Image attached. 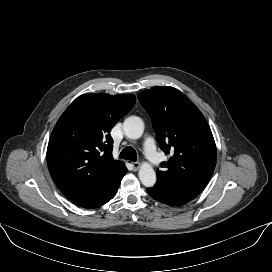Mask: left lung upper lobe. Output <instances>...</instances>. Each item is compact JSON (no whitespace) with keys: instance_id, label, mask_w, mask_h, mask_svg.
I'll use <instances>...</instances> for the list:
<instances>
[{"instance_id":"5c2ea615","label":"left lung upper lobe","mask_w":272,"mask_h":272,"mask_svg":"<svg viewBox=\"0 0 272 272\" xmlns=\"http://www.w3.org/2000/svg\"><path fill=\"white\" fill-rule=\"evenodd\" d=\"M152 117L161 149L171 153L157 169L156 185H168L200 193L216 165V145L210 127L199 109L173 87H154L138 94Z\"/></svg>"}]
</instances>
